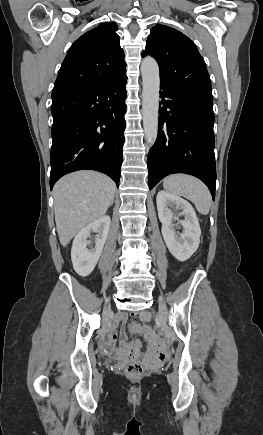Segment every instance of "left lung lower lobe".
Returning a JSON list of instances; mask_svg holds the SVG:
<instances>
[{"instance_id":"0a47b994","label":"left lung lower lobe","mask_w":263,"mask_h":435,"mask_svg":"<svg viewBox=\"0 0 263 435\" xmlns=\"http://www.w3.org/2000/svg\"><path fill=\"white\" fill-rule=\"evenodd\" d=\"M159 129L148 159L152 189L169 174L186 173L201 179L215 198L213 98L160 83Z\"/></svg>"}]
</instances>
